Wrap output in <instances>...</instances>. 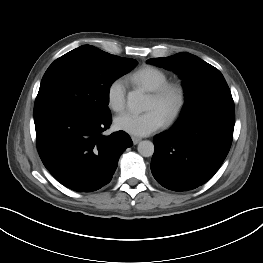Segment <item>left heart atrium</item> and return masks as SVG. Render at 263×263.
I'll return each mask as SVG.
<instances>
[{
	"label": "left heart atrium",
	"mask_w": 263,
	"mask_h": 263,
	"mask_svg": "<svg viewBox=\"0 0 263 263\" xmlns=\"http://www.w3.org/2000/svg\"><path fill=\"white\" fill-rule=\"evenodd\" d=\"M114 124L128 134L147 136L163 126L164 117L156 109L143 113L125 112L115 118Z\"/></svg>",
	"instance_id": "39dd6f15"
}]
</instances>
